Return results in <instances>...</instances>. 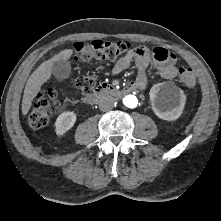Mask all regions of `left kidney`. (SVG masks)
Here are the masks:
<instances>
[{"label":"left kidney","mask_w":221,"mask_h":221,"mask_svg":"<svg viewBox=\"0 0 221 221\" xmlns=\"http://www.w3.org/2000/svg\"><path fill=\"white\" fill-rule=\"evenodd\" d=\"M150 101L155 115L166 121L178 119L186 102L184 92L174 84H155L150 90Z\"/></svg>","instance_id":"left-kidney-1"}]
</instances>
